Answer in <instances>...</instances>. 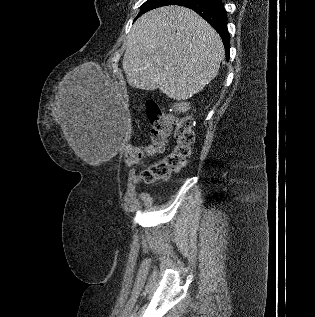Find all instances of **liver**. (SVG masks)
Listing matches in <instances>:
<instances>
[{
  "mask_svg": "<svg viewBox=\"0 0 315 317\" xmlns=\"http://www.w3.org/2000/svg\"><path fill=\"white\" fill-rule=\"evenodd\" d=\"M224 55L220 36L201 16L172 5L136 20L122 63L130 86L159 88L169 98L181 101L216 77ZM57 106L56 120L68 144L84 158L82 116L71 89H60Z\"/></svg>",
  "mask_w": 315,
  "mask_h": 317,
  "instance_id": "liver-1",
  "label": "liver"
}]
</instances>
